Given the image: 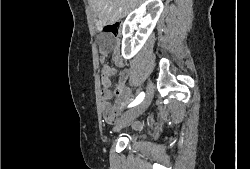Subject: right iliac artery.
<instances>
[{"label":"right iliac artery","mask_w":250,"mask_h":169,"mask_svg":"<svg viewBox=\"0 0 250 169\" xmlns=\"http://www.w3.org/2000/svg\"><path fill=\"white\" fill-rule=\"evenodd\" d=\"M145 97V93L144 92H141L137 97L136 99L128 106V107H133V106H136L138 105Z\"/></svg>","instance_id":"right-iliac-artery-1"}]
</instances>
